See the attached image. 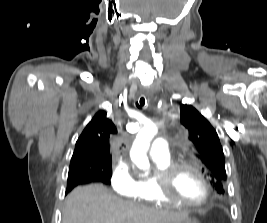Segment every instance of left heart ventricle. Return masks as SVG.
Here are the masks:
<instances>
[{
  "instance_id": "obj_1",
  "label": "left heart ventricle",
  "mask_w": 267,
  "mask_h": 223,
  "mask_svg": "<svg viewBox=\"0 0 267 223\" xmlns=\"http://www.w3.org/2000/svg\"><path fill=\"white\" fill-rule=\"evenodd\" d=\"M173 193L186 201L198 202L205 195V186L201 178L190 169H182L172 184Z\"/></svg>"
}]
</instances>
